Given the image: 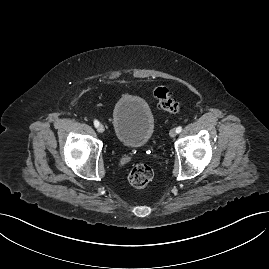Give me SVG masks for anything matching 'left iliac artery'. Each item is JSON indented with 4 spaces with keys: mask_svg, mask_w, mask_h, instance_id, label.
<instances>
[{
    "mask_svg": "<svg viewBox=\"0 0 269 269\" xmlns=\"http://www.w3.org/2000/svg\"><path fill=\"white\" fill-rule=\"evenodd\" d=\"M182 131V127L181 126H178L177 128H176V132L177 133H180Z\"/></svg>",
    "mask_w": 269,
    "mask_h": 269,
    "instance_id": "obj_1",
    "label": "left iliac artery"
}]
</instances>
